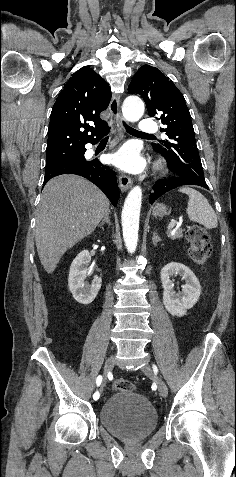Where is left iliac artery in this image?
I'll list each match as a JSON object with an SVG mask.
<instances>
[{"label": "left iliac artery", "instance_id": "obj_1", "mask_svg": "<svg viewBox=\"0 0 236 477\" xmlns=\"http://www.w3.org/2000/svg\"><path fill=\"white\" fill-rule=\"evenodd\" d=\"M153 370L157 372V367L155 365H153Z\"/></svg>", "mask_w": 236, "mask_h": 477}]
</instances>
